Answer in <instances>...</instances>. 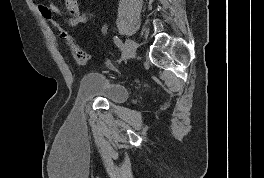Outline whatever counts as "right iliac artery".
I'll return each instance as SVG.
<instances>
[{"instance_id":"obj_1","label":"right iliac artery","mask_w":264,"mask_h":178,"mask_svg":"<svg viewBox=\"0 0 264 178\" xmlns=\"http://www.w3.org/2000/svg\"><path fill=\"white\" fill-rule=\"evenodd\" d=\"M114 43L117 45V47L120 50H123V44H122L121 40L117 36L114 37Z\"/></svg>"}]
</instances>
